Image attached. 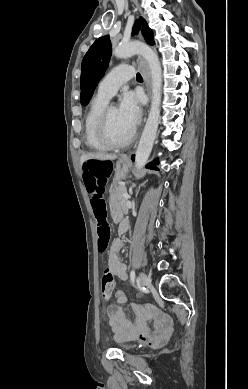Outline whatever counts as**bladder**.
Returning <instances> with one entry per match:
<instances>
[{"label":"bladder","mask_w":248,"mask_h":389,"mask_svg":"<svg viewBox=\"0 0 248 389\" xmlns=\"http://www.w3.org/2000/svg\"><path fill=\"white\" fill-rule=\"evenodd\" d=\"M131 345H129V344H119L118 345V349L119 350H121V351H123V352H128V351H130L131 350Z\"/></svg>","instance_id":"1"}]
</instances>
